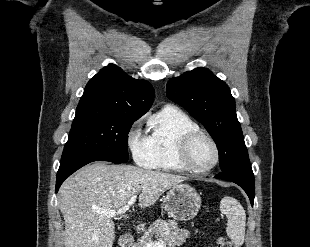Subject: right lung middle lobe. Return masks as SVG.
<instances>
[{
    "label": "right lung middle lobe",
    "instance_id": "right-lung-middle-lobe-1",
    "mask_svg": "<svg viewBox=\"0 0 310 247\" xmlns=\"http://www.w3.org/2000/svg\"><path fill=\"white\" fill-rule=\"evenodd\" d=\"M139 117L106 112H76L61 162L82 157L128 160V133Z\"/></svg>",
    "mask_w": 310,
    "mask_h": 247
}]
</instances>
